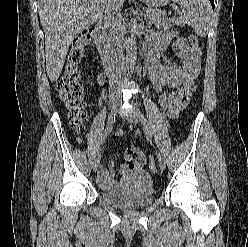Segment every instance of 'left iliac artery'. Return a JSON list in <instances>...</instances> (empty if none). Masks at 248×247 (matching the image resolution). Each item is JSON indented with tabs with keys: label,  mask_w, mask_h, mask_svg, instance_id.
<instances>
[{
	"label": "left iliac artery",
	"mask_w": 248,
	"mask_h": 247,
	"mask_svg": "<svg viewBox=\"0 0 248 247\" xmlns=\"http://www.w3.org/2000/svg\"><path fill=\"white\" fill-rule=\"evenodd\" d=\"M137 112H138V116L142 122V124L144 125V129H145V132L148 136L152 137V134H151V131L149 129V126H148V122H147V119L146 117L144 116L143 113L140 112L139 109H137Z\"/></svg>",
	"instance_id": "obj_1"
}]
</instances>
